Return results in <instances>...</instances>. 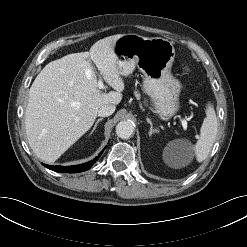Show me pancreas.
<instances>
[{
  "label": "pancreas",
  "mask_w": 247,
  "mask_h": 247,
  "mask_svg": "<svg viewBox=\"0 0 247 247\" xmlns=\"http://www.w3.org/2000/svg\"><path fill=\"white\" fill-rule=\"evenodd\" d=\"M136 96L139 98L140 97V95L138 94V93H136Z\"/></svg>",
  "instance_id": "obj_1"
}]
</instances>
